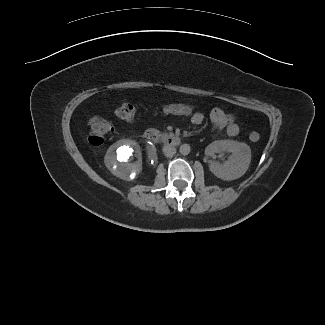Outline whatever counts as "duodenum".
Masks as SVG:
<instances>
[{
  "mask_svg": "<svg viewBox=\"0 0 325 325\" xmlns=\"http://www.w3.org/2000/svg\"><path fill=\"white\" fill-rule=\"evenodd\" d=\"M145 141L162 142L168 146L176 147L181 144L180 136L176 134H160L155 130H148L144 134Z\"/></svg>",
  "mask_w": 325,
  "mask_h": 325,
  "instance_id": "1",
  "label": "duodenum"
}]
</instances>
